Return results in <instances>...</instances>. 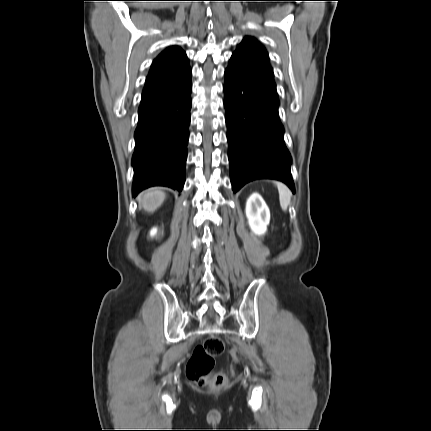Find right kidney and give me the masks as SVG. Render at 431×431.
<instances>
[{
	"label": "right kidney",
	"mask_w": 431,
	"mask_h": 431,
	"mask_svg": "<svg viewBox=\"0 0 431 431\" xmlns=\"http://www.w3.org/2000/svg\"><path fill=\"white\" fill-rule=\"evenodd\" d=\"M157 232H158L157 228H152V229H151V231H150V236H151V237L156 236V235H157Z\"/></svg>",
	"instance_id": "1"
}]
</instances>
